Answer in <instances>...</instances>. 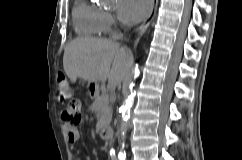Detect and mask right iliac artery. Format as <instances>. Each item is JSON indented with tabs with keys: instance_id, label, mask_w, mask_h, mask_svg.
<instances>
[{
	"instance_id": "1",
	"label": "right iliac artery",
	"mask_w": 242,
	"mask_h": 160,
	"mask_svg": "<svg viewBox=\"0 0 242 160\" xmlns=\"http://www.w3.org/2000/svg\"><path fill=\"white\" fill-rule=\"evenodd\" d=\"M112 160H116V158H112Z\"/></svg>"
}]
</instances>
